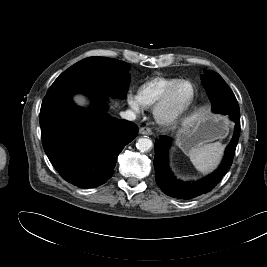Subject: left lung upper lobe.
Returning a JSON list of instances; mask_svg holds the SVG:
<instances>
[{"instance_id": "left-lung-upper-lobe-1", "label": "left lung upper lobe", "mask_w": 267, "mask_h": 267, "mask_svg": "<svg viewBox=\"0 0 267 267\" xmlns=\"http://www.w3.org/2000/svg\"><path fill=\"white\" fill-rule=\"evenodd\" d=\"M203 86L212 102V110L225 109L230 101L237 102L232 90L228 87L223 78L216 72L208 70L201 76Z\"/></svg>"}]
</instances>
